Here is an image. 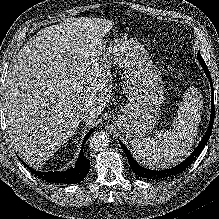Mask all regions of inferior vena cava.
Returning a JSON list of instances; mask_svg holds the SVG:
<instances>
[{
	"instance_id": "obj_1",
	"label": "inferior vena cava",
	"mask_w": 219,
	"mask_h": 219,
	"mask_svg": "<svg viewBox=\"0 0 219 219\" xmlns=\"http://www.w3.org/2000/svg\"><path fill=\"white\" fill-rule=\"evenodd\" d=\"M79 117L81 119H86L88 117H94V112L91 111L89 108H83L81 109V111L79 112Z\"/></svg>"
}]
</instances>
